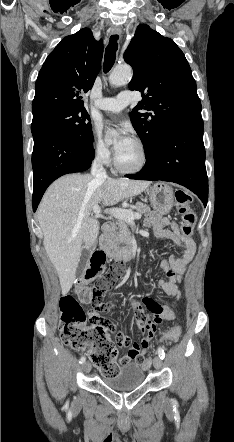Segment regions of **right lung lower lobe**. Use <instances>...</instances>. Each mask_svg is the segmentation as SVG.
Here are the masks:
<instances>
[{
	"label": "right lung lower lobe",
	"mask_w": 234,
	"mask_h": 442,
	"mask_svg": "<svg viewBox=\"0 0 234 442\" xmlns=\"http://www.w3.org/2000/svg\"><path fill=\"white\" fill-rule=\"evenodd\" d=\"M33 138V211H36L45 190L55 179L90 167L94 150L93 141L85 145L57 131H38Z\"/></svg>",
	"instance_id": "1"
}]
</instances>
